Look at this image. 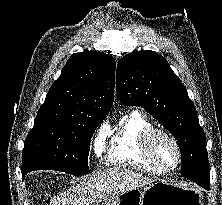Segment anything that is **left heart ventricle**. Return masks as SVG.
I'll return each mask as SVG.
<instances>
[{
  "label": "left heart ventricle",
  "mask_w": 222,
  "mask_h": 205,
  "mask_svg": "<svg viewBox=\"0 0 222 205\" xmlns=\"http://www.w3.org/2000/svg\"><path fill=\"white\" fill-rule=\"evenodd\" d=\"M151 149L155 159L162 166L172 167L177 158V153L174 145L165 137L156 135L151 141Z\"/></svg>",
  "instance_id": "obj_1"
}]
</instances>
